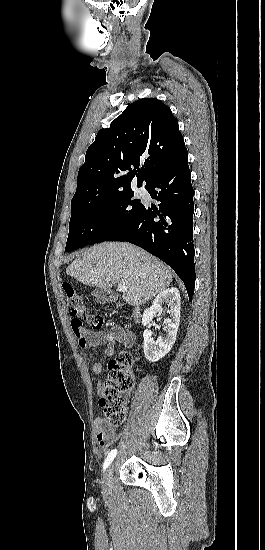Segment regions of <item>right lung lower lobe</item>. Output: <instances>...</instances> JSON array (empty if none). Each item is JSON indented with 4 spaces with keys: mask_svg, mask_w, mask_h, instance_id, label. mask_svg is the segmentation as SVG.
I'll list each match as a JSON object with an SVG mask.
<instances>
[{
    "mask_svg": "<svg viewBox=\"0 0 265 550\" xmlns=\"http://www.w3.org/2000/svg\"><path fill=\"white\" fill-rule=\"evenodd\" d=\"M159 208L145 206L139 215L105 241L133 243L171 266L192 301L195 283L193 256V187L185 148L146 187Z\"/></svg>",
    "mask_w": 265,
    "mask_h": 550,
    "instance_id": "98d812e1",
    "label": "right lung lower lobe"
}]
</instances>
